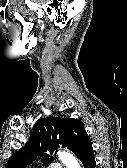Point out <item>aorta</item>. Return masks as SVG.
I'll return each instance as SVG.
<instances>
[{"mask_svg": "<svg viewBox=\"0 0 127 168\" xmlns=\"http://www.w3.org/2000/svg\"><path fill=\"white\" fill-rule=\"evenodd\" d=\"M58 157L62 161V163L66 166V168H81L78 160L71 153L58 152Z\"/></svg>", "mask_w": 127, "mask_h": 168, "instance_id": "762f6f07", "label": "aorta"}]
</instances>
